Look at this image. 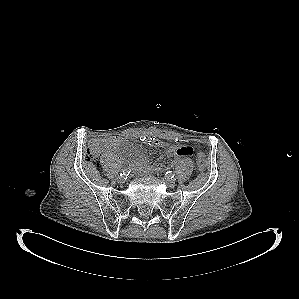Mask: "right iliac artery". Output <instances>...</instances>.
Instances as JSON below:
<instances>
[{
  "mask_svg": "<svg viewBox=\"0 0 299 299\" xmlns=\"http://www.w3.org/2000/svg\"><path fill=\"white\" fill-rule=\"evenodd\" d=\"M130 172H131L130 168H125V169L121 170L120 176H127L130 174Z\"/></svg>",
  "mask_w": 299,
  "mask_h": 299,
  "instance_id": "obj_1",
  "label": "right iliac artery"
}]
</instances>
